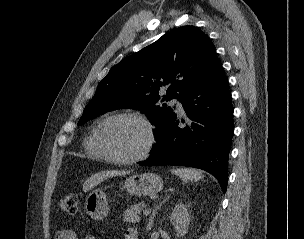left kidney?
Listing matches in <instances>:
<instances>
[{"label":"left kidney","mask_w":304,"mask_h":239,"mask_svg":"<svg viewBox=\"0 0 304 239\" xmlns=\"http://www.w3.org/2000/svg\"><path fill=\"white\" fill-rule=\"evenodd\" d=\"M170 220L177 234L184 236L188 231V225L190 222V213L187 205H184L182 202L177 204L172 210Z\"/></svg>","instance_id":"left-kidney-1"}]
</instances>
